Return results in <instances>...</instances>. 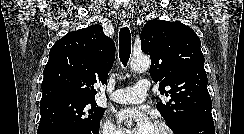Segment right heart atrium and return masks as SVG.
<instances>
[{
  "instance_id": "1",
  "label": "right heart atrium",
  "mask_w": 244,
  "mask_h": 134,
  "mask_svg": "<svg viewBox=\"0 0 244 134\" xmlns=\"http://www.w3.org/2000/svg\"><path fill=\"white\" fill-rule=\"evenodd\" d=\"M101 134H123L110 119L103 121L101 125Z\"/></svg>"
}]
</instances>
